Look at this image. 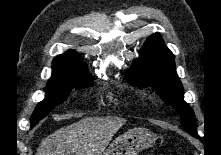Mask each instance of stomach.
I'll use <instances>...</instances> for the list:
<instances>
[{
    "instance_id": "stomach-1",
    "label": "stomach",
    "mask_w": 221,
    "mask_h": 155,
    "mask_svg": "<svg viewBox=\"0 0 221 155\" xmlns=\"http://www.w3.org/2000/svg\"><path fill=\"white\" fill-rule=\"evenodd\" d=\"M156 136L146 128H134L116 138L103 155H139L155 144Z\"/></svg>"
}]
</instances>
